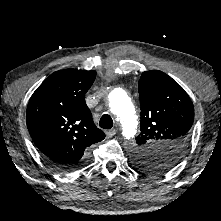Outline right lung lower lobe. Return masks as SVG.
<instances>
[{"mask_svg":"<svg viewBox=\"0 0 221 221\" xmlns=\"http://www.w3.org/2000/svg\"><path fill=\"white\" fill-rule=\"evenodd\" d=\"M49 161V160H48ZM50 162V161H49ZM88 162V157H86L85 159L78 161L76 163H52L50 162L54 167L63 170V171H70V170H74L77 168H80L81 166L85 165Z\"/></svg>","mask_w":221,"mask_h":221,"instance_id":"98d812e1","label":"right lung lower lobe"}]
</instances>
